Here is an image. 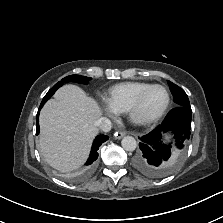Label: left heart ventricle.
I'll return each instance as SVG.
<instances>
[{
  "label": "left heart ventricle",
  "mask_w": 223,
  "mask_h": 223,
  "mask_svg": "<svg viewBox=\"0 0 223 223\" xmlns=\"http://www.w3.org/2000/svg\"><path fill=\"white\" fill-rule=\"evenodd\" d=\"M166 102V93L161 88L151 90L145 97L138 116L141 118H149L158 114L164 107Z\"/></svg>",
  "instance_id": "obj_1"
}]
</instances>
